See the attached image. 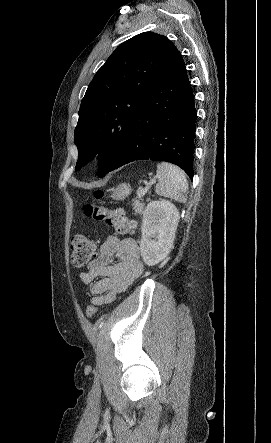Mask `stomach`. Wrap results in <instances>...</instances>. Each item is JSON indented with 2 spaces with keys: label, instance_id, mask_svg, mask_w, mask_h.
<instances>
[{
  "label": "stomach",
  "instance_id": "0dacf381",
  "mask_svg": "<svg viewBox=\"0 0 271 443\" xmlns=\"http://www.w3.org/2000/svg\"><path fill=\"white\" fill-rule=\"evenodd\" d=\"M129 194H131V188L129 184H120V186H117V188H115L110 198H113V200H125V198H128Z\"/></svg>",
  "mask_w": 271,
  "mask_h": 443
}]
</instances>
